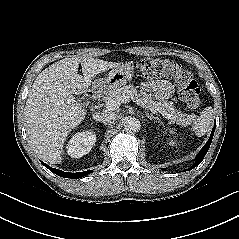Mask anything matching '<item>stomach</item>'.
<instances>
[{"mask_svg":"<svg viewBox=\"0 0 239 239\" xmlns=\"http://www.w3.org/2000/svg\"><path fill=\"white\" fill-rule=\"evenodd\" d=\"M133 76V68L129 64H122L114 67L104 78L96 79L93 86L102 92H109L112 89L119 88L129 81Z\"/></svg>","mask_w":239,"mask_h":239,"instance_id":"0dacf381","label":"stomach"}]
</instances>
